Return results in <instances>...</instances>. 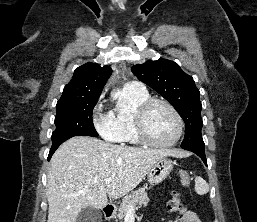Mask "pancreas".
I'll return each mask as SVG.
<instances>
[{"label": "pancreas", "instance_id": "1", "mask_svg": "<svg viewBox=\"0 0 257 222\" xmlns=\"http://www.w3.org/2000/svg\"><path fill=\"white\" fill-rule=\"evenodd\" d=\"M148 202L149 198L144 188H139L135 191H132L129 195H126L122 199L117 216L120 220H122L128 213L130 206H147Z\"/></svg>", "mask_w": 257, "mask_h": 222}]
</instances>
